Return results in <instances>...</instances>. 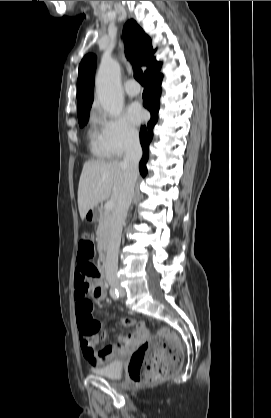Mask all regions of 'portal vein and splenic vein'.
I'll use <instances>...</instances> for the list:
<instances>
[{"instance_id":"portal-vein-and-splenic-vein-1","label":"portal vein and splenic vein","mask_w":271,"mask_h":418,"mask_svg":"<svg viewBox=\"0 0 271 418\" xmlns=\"http://www.w3.org/2000/svg\"><path fill=\"white\" fill-rule=\"evenodd\" d=\"M114 206H115V202L114 201H108L106 204H105V210L106 211H111L113 208H114Z\"/></svg>"}]
</instances>
